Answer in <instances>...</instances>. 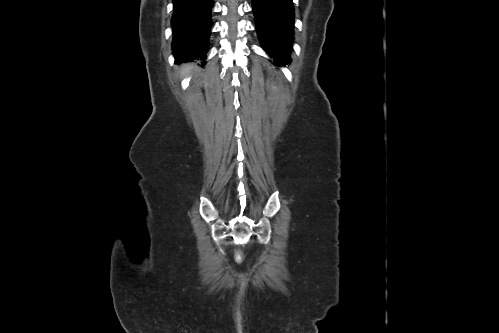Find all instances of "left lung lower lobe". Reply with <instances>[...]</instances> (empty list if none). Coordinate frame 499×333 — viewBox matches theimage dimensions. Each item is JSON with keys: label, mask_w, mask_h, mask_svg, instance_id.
Here are the masks:
<instances>
[{"label": "left lung lower lobe", "mask_w": 499, "mask_h": 333, "mask_svg": "<svg viewBox=\"0 0 499 333\" xmlns=\"http://www.w3.org/2000/svg\"><path fill=\"white\" fill-rule=\"evenodd\" d=\"M258 37L271 57L281 65L290 59L294 25L292 0H252Z\"/></svg>", "instance_id": "1"}]
</instances>
